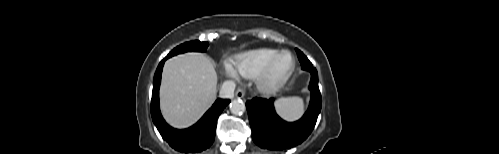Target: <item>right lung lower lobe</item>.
I'll use <instances>...</instances> for the list:
<instances>
[{"label":"right lung lower lobe","instance_id":"right-lung-lower-lobe-1","mask_svg":"<svg viewBox=\"0 0 499 154\" xmlns=\"http://www.w3.org/2000/svg\"><path fill=\"white\" fill-rule=\"evenodd\" d=\"M166 59L167 57L158 65L153 79L151 100L152 120L163 139L175 150L185 153L201 152L210 147L214 142L217 119L230 100L218 98L205 115L188 129L177 130L172 128L163 119L159 108V87Z\"/></svg>","mask_w":499,"mask_h":154}]
</instances>
